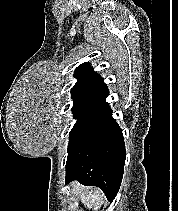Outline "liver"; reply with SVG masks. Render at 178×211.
Instances as JSON below:
<instances>
[{
	"mask_svg": "<svg viewBox=\"0 0 178 211\" xmlns=\"http://www.w3.org/2000/svg\"><path fill=\"white\" fill-rule=\"evenodd\" d=\"M72 192L79 195L81 203L88 209L94 207V211H98L105 202V195L96 187H84L74 184Z\"/></svg>",
	"mask_w": 178,
	"mask_h": 211,
	"instance_id": "obj_1",
	"label": "liver"
}]
</instances>
